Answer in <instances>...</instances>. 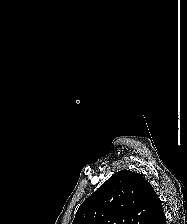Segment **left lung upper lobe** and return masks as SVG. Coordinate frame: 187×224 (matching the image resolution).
Listing matches in <instances>:
<instances>
[{"mask_svg":"<svg viewBox=\"0 0 187 224\" xmlns=\"http://www.w3.org/2000/svg\"><path fill=\"white\" fill-rule=\"evenodd\" d=\"M161 208L142 174L121 170L80 205L72 224H150Z\"/></svg>","mask_w":187,"mask_h":224,"instance_id":"obj_1","label":"left lung upper lobe"}]
</instances>
